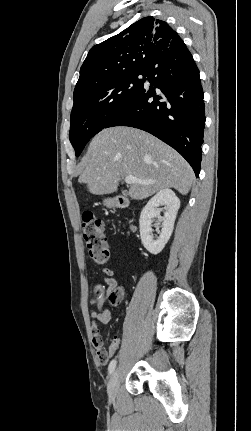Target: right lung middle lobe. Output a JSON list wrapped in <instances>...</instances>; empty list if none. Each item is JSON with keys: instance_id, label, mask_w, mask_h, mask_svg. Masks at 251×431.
I'll return each mask as SVG.
<instances>
[{"instance_id": "obj_1", "label": "right lung middle lobe", "mask_w": 251, "mask_h": 431, "mask_svg": "<svg viewBox=\"0 0 251 431\" xmlns=\"http://www.w3.org/2000/svg\"><path fill=\"white\" fill-rule=\"evenodd\" d=\"M145 76V70L126 73L74 95L69 139L77 157L86 143L142 89Z\"/></svg>"}]
</instances>
